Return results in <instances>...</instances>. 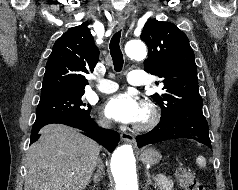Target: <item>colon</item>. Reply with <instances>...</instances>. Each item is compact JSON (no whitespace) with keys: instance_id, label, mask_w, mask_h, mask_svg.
Wrapping results in <instances>:
<instances>
[{"instance_id":"colon-1","label":"colon","mask_w":238,"mask_h":190,"mask_svg":"<svg viewBox=\"0 0 238 190\" xmlns=\"http://www.w3.org/2000/svg\"><path fill=\"white\" fill-rule=\"evenodd\" d=\"M176 179L184 190H205L204 186L196 179L194 173L182 166H178L173 170Z\"/></svg>"}]
</instances>
